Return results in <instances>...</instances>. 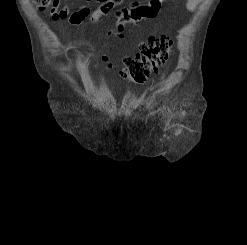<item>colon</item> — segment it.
<instances>
[{
	"instance_id": "5ec220e1",
	"label": "colon",
	"mask_w": 247,
	"mask_h": 245,
	"mask_svg": "<svg viewBox=\"0 0 247 245\" xmlns=\"http://www.w3.org/2000/svg\"><path fill=\"white\" fill-rule=\"evenodd\" d=\"M35 5L45 10L52 0H33ZM99 6L91 13L90 18L96 21L100 16L107 15L122 0H96ZM172 52V40L167 36L150 37L140 44V52L134 57L124 59V68L120 75L138 84L145 83L152 74L157 73L167 62ZM105 61L107 59L104 57Z\"/></svg>"
}]
</instances>
